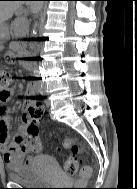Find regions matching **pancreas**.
I'll return each mask as SVG.
<instances>
[{
  "label": "pancreas",
  "instance_id": "obj_1",
  "mask_svg": "<svg viewBox=\"0 0 137 189\" xmlns=\"http://www.w3.org/2000/svg\"><path fill=\"white\" fill-rule=\"evenodd\" d=\"M29 24L23 17L15 19L12 25L14 37L20 38L25 37L28 33Z\"/></svg>",
  "mask_w": 137,
  "mask_h": 189
}]
</instances>
